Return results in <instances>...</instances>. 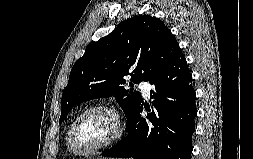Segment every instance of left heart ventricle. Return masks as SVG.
<instances>
[{"label":"left heart ventricle","instance_id":"obj_1","mask_svg":"<svg viewBox=\"0 0 253 159\" xmlns=\"http://www.w3.org/2000/svg\"><path fill=\"white\" fill-rule=\"evenodd\" d=\"M112 115L104 110H95L84 115L74 132V145L85 151L108 141L115 133Z\"/></svg>","mask_w":253,"mask_h":159}]
</instances>
